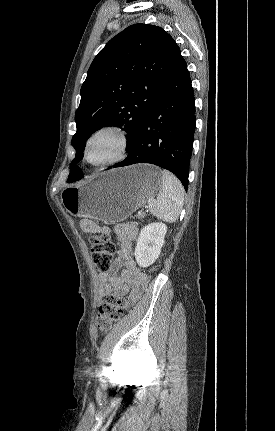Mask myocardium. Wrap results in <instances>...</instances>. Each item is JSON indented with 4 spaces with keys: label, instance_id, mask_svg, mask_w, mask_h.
Returning <instances> with one entry per match:
<instances>
[{
    "label": "myocardium",
    "instance_id": "f54148a6",
    "mask_svg": "<svg viewBox=\"0 0 275 431\" xmlns=\"http://www.w3.org/2000/svg\"><path fill=\"white\" fill-rule=\"evenodd\" d=\"M102 134H112L116 137L118 142L117 151L113 156L106 160L92 162L88 156L89 147L93 140ZM128 149L129 139L126 131L117 124H105L96 128L85 140L83 147V159L87 164L93 167H108L123 161L127 156Z\"/></svg>",
    "mask_w": 275,
    "mask_h": 431
}]
</instances>
